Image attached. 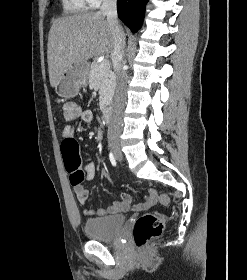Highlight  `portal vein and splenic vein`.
<instances>
[{"label": "portal vein and splenic vein", "mask_w": 247, "mask_h": 280, "mask_svg": "<svg viewBox=\"0 0 247 280\" xmlns=\"http://www.w3.org/2000/svg\"><path fill=\"white\" fill-rule=\"evenodd\" d=\"M110 66V63L109 61L107 60H103L100 64H99V67H100V70H106L108 69Z\"/></svg>", "instance_id": "1"}]
</instances>
